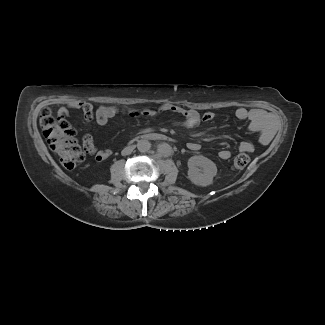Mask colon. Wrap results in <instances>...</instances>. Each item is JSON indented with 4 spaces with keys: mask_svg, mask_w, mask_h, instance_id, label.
Masks as SVG:
<instances>
[{
    "mask_svg": "<svg viewBox=\"0 0 325 325\" xmlns=\"http://www.w3.org/2000/svg\"><path fill=\"white\" fill-rule=\"evenodd\" d=\"M40 123L51 150L58 156L65 168L73 169L84 160L85 152L77 140L65 135L50 110L42 111ZM249 162V156L246 153H240L234 158L232 168L242 170L248 166Z\"/></svg>",
    "mask_w": 325,
    "mask_h": 325,
    "instance_id": "1",
    "label": "colon"
}]
</instances>
